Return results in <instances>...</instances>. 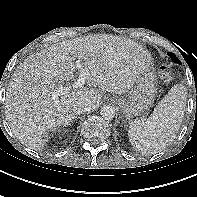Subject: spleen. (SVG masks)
<instances>
[{"mask_svg": "<svg viewBox=\"0 0 197 197\" xmlns=\"http://www.w3.org/2000/svg\"><path fill=\"white\" fill-rule=\"evenodd\" d=\"M186 100L185 86L174 85L148 118L130 124L128 136L132 146L142 154H154L165 148L182 123Z\"/></svg>", "mask_w": 197, "mask_h": 197, "instance_id": "1", "label": "spleen"}]
</instances>
